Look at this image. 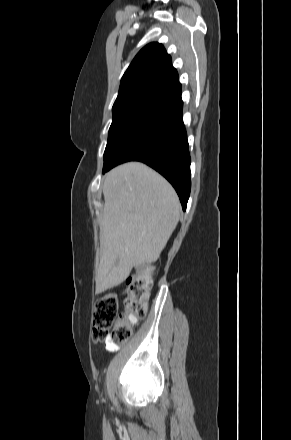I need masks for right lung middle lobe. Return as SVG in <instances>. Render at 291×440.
<instances>
[{
	"label": "right lung middle lobe",
	"instance_id": "1",
	"mask_svg": "<svg viewBox=\"0 0 291 440\" xmlns=\"http://www.w3.org/2000/svg\"><path fill=\"white\" fill-rule=\"evenodd\" d=\"M152 102L153 99L138 98L113 105V120L104 152L103 173L106 172L112 157L140 122Z\"/></svg>",
	"mask_w": 291,
	"mask_h": 440
}]
</instances>
